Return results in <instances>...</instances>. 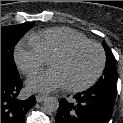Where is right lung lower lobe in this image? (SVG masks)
Segmentation results:
<instances>
[{
	"label": "right lung lower lobe",
	"instance_id": "1",
	"mask_svg": "<svg viewBox=\"0 0 123 123\" xmlns=\"http://www.w3.org/2000/svg\"><path fill=\"white\" fill-rule=\"evenodd\" d=\"M22 85L20 76L1 71V123H24L27 111L36 104L34 96L17 98Z\"/></svg>",
	"mask_w": 123,
	"mask_h": 123
}]
</instances>
